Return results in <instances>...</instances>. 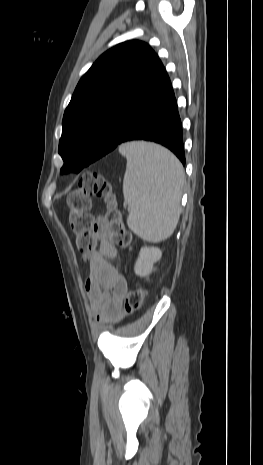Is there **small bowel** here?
Returning <instances> with one entry per match:
<instances>
[{"mask_svg":"<svg viewBox=\"0 0 263 465\" xmlns=\"http://www.w3.org/2000/svg\"><path fill=\"white\" fill-rule=\"evenodd\" d=\"M96 236L99 246L91 258L86 291L96 321L108 323L121 317V303L127 293V283L123 274L110 263L116 257L117 249L111 243L107 229L100 226Z\"/></svg>","mask_w":263,"mask_h":465,"instance_id":"1","label":"small bowel"}]
</instances>
